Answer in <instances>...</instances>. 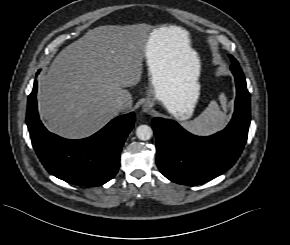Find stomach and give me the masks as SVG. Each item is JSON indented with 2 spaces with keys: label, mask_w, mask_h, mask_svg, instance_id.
I'll return each instance as SVG.
<instances>
[{
  "label": "stomach",
  "mask_w": 290,
  "mask_h": 245,
  "mask_svg": "<svg viewBox=\"0 0 290 245\" xmlns=\"http://www.w3.org/2000/svg\"><path fill=\"white\" fill-rule=\"evenodd\" d=\"M158 30H155L145 46V59L151 86V101H159L179 121L188 120L199 98V75L186 74L173 77L158 49ZM159 54L158 57H155Z\"/></svg>",
  "instance_id": "1"
}]
</instances>
